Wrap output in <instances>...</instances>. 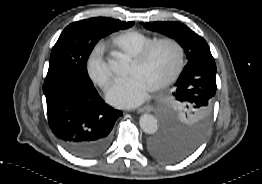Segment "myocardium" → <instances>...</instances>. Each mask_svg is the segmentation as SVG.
Masks as SVG:
<instances>
[{
    "label": "myocardium",
    "instance_id": "f54148a6",
    "mask_svg": "<svg viewBox=\"0 0 262 184\" xmlns=\"http://www.w3.org/2000/svg\"><path fill=\"white\" fill-rule=\"evenodd\" d=\"M163 43H169V44L176 47V49L178 51V61H177V64H176L174 70L171 72V74L167 78H165L162 82H160L159 84L154 86L153 89H152L153 91H160V90L167 88L179 77V75L182 72L183 67L185 65V57H186L185 48H184L183 44L179 40H177L173 37L159 38V39H156L155 41H153L152 43H150L149 45H147L145 48H143L133 58L134 63L142 64L149 58V56L152 54L154 49L157 46H159Z\"/></svg>",
    "mask_w": 262,
    "mask_h": 184
}]
</instances>
